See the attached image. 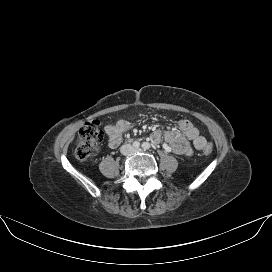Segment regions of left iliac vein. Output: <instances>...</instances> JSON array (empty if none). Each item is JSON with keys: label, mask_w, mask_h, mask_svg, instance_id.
<instances>
[{"label": "left iliac vein", "mask_w": 272, "mask_h": 272, "mask_svg": "<svg viewBox=\"0 0 272 272\" xmlns=\"http://www.w3.org/2000/svg\"><path fill=\"white\" fill-rule=\"evenodd\" d=\"M136 151L141 152V149L140 148H136Z\"/></svg>", "instance_id": "1"}]
</instances>
